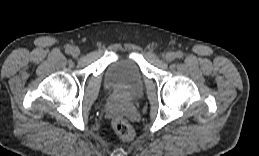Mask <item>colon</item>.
I'll use <instances>...</instances> for the list:
<instances>
[{"mask_svg":"<svg viewBox=\"0 0 259 156\" xmlns=\"http://www.w3.org/2000/svg\"><path fill=\"white\" fill-rule=\"evenodd\" d=\"M113 127L117 135L123 141H130L134 138V130L132 126L123 118H116L113 122Z\"/></svg>","mask_w":259,"mask_h":156,"instance_id":"obj_1","label":"colon"}]
</instances>
